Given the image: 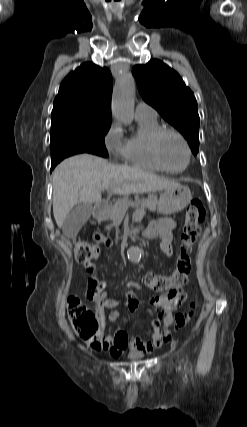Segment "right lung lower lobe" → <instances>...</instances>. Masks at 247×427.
Instances as JSON below:
<instances>
[{
  "mask_svg": "<svg viewBox=\"0 0 247 427\" xmlns=\"http://www.w3.org/2000/svg\"><path fill=\"white\" fill-rule=\"evenodd\" d=\"M77 151H68L64 153L57 154L53 157H51V169H53L61 160H63L66 157H69L74 154H78Z\"/></svg>",
  "mask_w": 247,
  "mask_h": 427,
  "instance_id": "right-lung-lower-lobe-1",
  "label": "right lung lower lobe"
}]
</instances>
